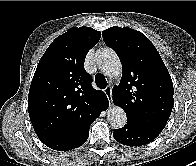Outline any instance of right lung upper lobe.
<instances>
[{"label": "right lung upper lobe", "instance_id": "right-lung-upper-lobe-1", "mask_svg": "<svg viewBox=\"0 0 196 166\" xmlns=\"http://www.w3.org/2000/svg\"><path fill=\"white\" fill-rule=\"evenodd\" d=\"M100 37L90 27H73L41 57L28 95L29 116L38 137L82 132L92 111L107 100L104 92L92 88V78L83 67Z\"/></svg>", "mask_w": 196, "mask_h": 166}]
</instances>
